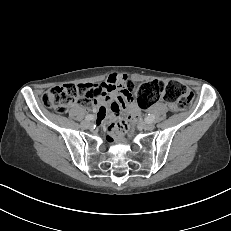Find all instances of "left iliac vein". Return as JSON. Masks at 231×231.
<instances>
[{"instance_id": "4c4485c4", "label": "left iliac vein", "mask_w": 231, "mask_h": 231, "mask_svg": "<svg viewBox=\"0 0 231 231\" xmlns=\"http://www.w3.org/2000/svg\"><path fill=\"white\" fill-rule=\"evenodd\" d=\"M141 126L148 131H152L155 128V125L151 122H141Z\"/></svg>"}]
</instances>
